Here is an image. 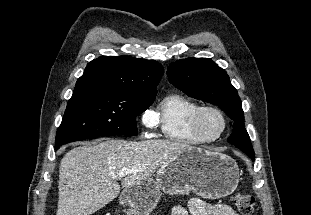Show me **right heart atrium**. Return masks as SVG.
Returning <instances> with one entry per match:
<instances>
[{
    "label": "right heart atrium",
    "mask_w": 311,
    "mask_h": 215,
    "mask_svg": "<svg viewBox=\"0 0 311 215\" xmlns=\"http://www.w3.org/2000/svg\"><path fill=\"white\" fill-rule=\"evenodd\" d=\"M141 122L147 129L154 128L157 124L154 114L149 110L142 113Z\"/></svg>",
    "instance_id": "1"
}]
</instances>
